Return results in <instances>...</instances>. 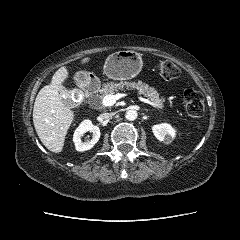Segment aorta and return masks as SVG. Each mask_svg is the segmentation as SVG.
Wrapping results in <instances>:
<instances>
[{
	"label": "aorta",
	"instance_id": "aorta-1",
	"mask_svg": "<svg viewBox=\"0 0 240 240\" xmlns=\"http://www.w3.org/2000/svg\"><path fill=\"white\" fill-rule=\"evenodd\" d=\"M138 114L135 110H128L126 112L125 118L129 121H134L137 118Z\"/></svg>",
	"mask_w": 240,
	"mask_h": 240
}]
</instances>
